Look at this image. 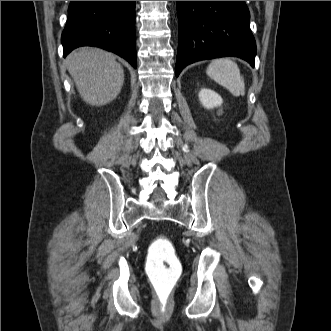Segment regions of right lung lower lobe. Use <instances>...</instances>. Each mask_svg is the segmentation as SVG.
Masks as SVG:
<instances>
[{
	"label": "right lung lower lobe",
	"instance_id": "obj_1",
	"mask_svg": "<svg viewBox=\"0 0 331 331\" xmlns=\"http://www.w3.org/2000/svg\"><path fill=\"white\" fill-rule=\"evenodd\" d=\"M61 41L64 57L77 47L94 46L136 68L135 1H71Z\"/></svg>",
	"mask_w": 331,
	"mask_h": 331
}]
</instances>
